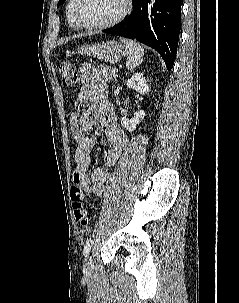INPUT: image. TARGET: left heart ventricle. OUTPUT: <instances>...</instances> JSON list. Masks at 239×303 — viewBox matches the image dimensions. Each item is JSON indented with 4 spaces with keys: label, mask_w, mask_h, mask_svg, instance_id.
I'll return each instance as SVG.
<instances>
[{
    "label": "left heart ventricle",
    "mask_w": 239,
    "mask_h": 303,
    "mask_svg": "<svg viewBox=\"0 0 239 303\" xmlns=\"http://www.w3.org/2000/svg\"><path fill=\"white\" fill-rule=\"evenodd\" d=\"M124 8V0H81L79 14L89 24L108 22Z\"/></svg>",
    "instance_id": "1"
}]
</instances>
